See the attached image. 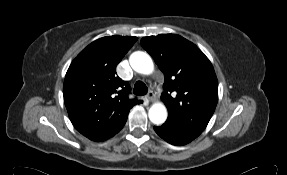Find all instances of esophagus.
I'll return each instance as SVG.
<instances>
[{
    "label": "esophagus",
    "mask_w": 287,
    "mask_h": 175,
    "mask_svg": "<svg viewBox=\"0 0 287 175\" xmlns=\"http://www.w3.org/2000/svg\"><path fill=\"white\" fill-rule=\"evenodd\" d=\"M147 98H148L150 101H154V99H155V94L153 93V91H149V92H148Z\"/></svg>",
    "instance_id": "1"
}]
</instances>
